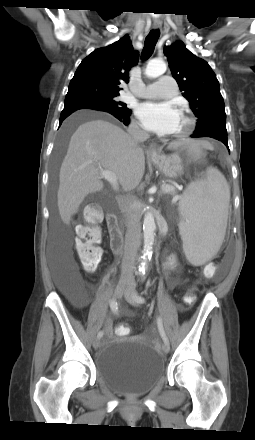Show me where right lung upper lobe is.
I'll list each match as a JSON object with an SVG mask.
<instances>
[{
	"label": "right lung upper lobe",
	"instance_id": "1",
	"mask_svg": "<svg viewBox=\"0 0 255 440\" xmlns=\"http://www.w3.org/2000/svg\"><path fill=\"white\" fill-rule=\"evenodd\" d=\"M138 62L128 35L119 41L94 50L82 60L70 81L66 98L91 93L119 94V84L128 82V72Z\"/></svg>",
	"mask_w": 255,
	"mask_h": 440
}]
</instances>
